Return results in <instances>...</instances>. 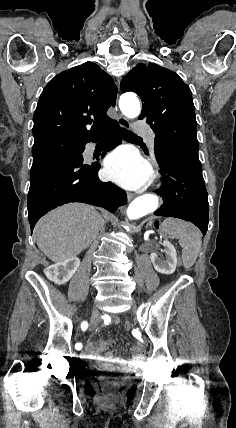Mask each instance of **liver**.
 Returning a JSON list of instances; mask_svg holds the SVG:
<instances>
[{"label": "liver", "instance_id": "obj_1", "mask_svg": "<svg viewBox=\"0 0 236 428\" xmlns=\"http://www.w3.org/2000/svg\"><path fill=\"white\" fill-rule=\"evenodd\" d=\"M104 226L93 206L65 204L37 222V246L52 262H64L86 250Z\"/></svg>", "mask_w": 236, "mask_h": 428}]
</instances>
